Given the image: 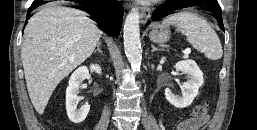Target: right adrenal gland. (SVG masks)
Wrapping results in <instances>:
<instances>
[{
    "label": "right adrenal gland",
    "mask_w": 257,
    "mask_h": 130,
    "mask_svg": "<svg viewBox=\"0 0 257 130\" xmlns=\"http://www.w3.org/2000/svg\"><path fill=\"white\" fill-rule=\"evenodd\" d=\"M100 45H101V42L99 41L98 44H97V49L94 51V54L96 52H99L100 54H103L102 50L100 49Z\"/></svg>",
    "instance_id": "right-adrenal-gland-1"
}]
</instances>
